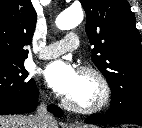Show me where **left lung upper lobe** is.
<instances>
[{
  "label": "left lung upper lobe",
  "instance_id": "5c2ea615",
  "mask_svg": "<svg viewBox=\"0 0 142 128\" xmlns=\"http://www.w3.org/2000/svg\"><path fill=\"white\" fill-rule=\"evenodd\" d=\"M92 60L107 79L110 109L142 104V46L135 15L127 0H80Z\"/></svg>",
  "mask_w": 142,
  "mask_h": 128
}]
</instances>
